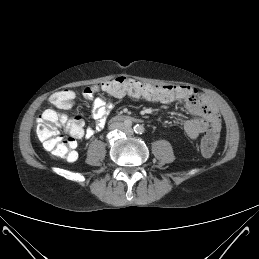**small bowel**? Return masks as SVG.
Returning a JSON list of instances; mask_svg holds the SVG:
<instances>
[{"label": "small bowel", "instance_id": "1", "mask_svg": "<svg viewBox=\"0 0 259 259\" xmlns=\"http://www.w3.org/2000/svg\"><path fill=\"white\" fill-rule=\"evenodd\" d=\"M173 93L161 98H148L149 100L163 104L182 101L187 112L192 116L184 121L183 127L187 136L196 139L200 134L215 131L219 133L221 128V119L216 107L212 102L201 95L196 89L187 86H173ZM96 89L87 87L84 91V97L91 102V113L95 119L94 127L83 129L80 138H92L100 131L106 122L107 116L113 107L112 99L104 97H94ZM125 94L116 95L115 98H122ZM131 96V95H130ZM134 97V96H132ZM75 160L77 153H75Z\"/></svg>", "mask_w": 259, "mask_h": 259}]
</instances>
